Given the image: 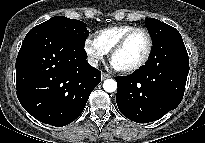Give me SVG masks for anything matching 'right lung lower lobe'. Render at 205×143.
Returning a JSON list of instances; mask_svg holds the SVG:
<instances>
[{"mask_svg":"<svg viewBox=\"0 0 205 143\" xmlns=\"http://www.w3.org/2000/svg\"><path fill=\"white\" fill-rule=\"evenodd\" d=\"M84 46L49 29L32 28L16 59L17 97L35 119L65 126L84 110L101 72L87 61Z\"/></svg>","mask_w":205,"mask_h":143,"instance_id":"obj_1","label":"right lung lower lobe"}]
</instances>
